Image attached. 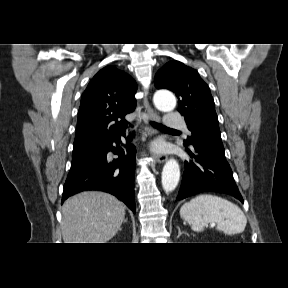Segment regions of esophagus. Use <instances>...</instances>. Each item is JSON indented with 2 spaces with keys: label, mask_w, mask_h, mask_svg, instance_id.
I'll return each instance as SVG.
<instances>
[{
  "label": "esophagus",
  "mask_w": 288,
  "mask_h": 288,
  "mask_svg": "<svg viewBox=\"0 0 288 288\" xmlns=\"http://www.w3.org/2000/svg\"><path fill=\"white\" fill-rule=\"evenodd\" d=\"M143 105L147 114V119L152 121H159V116L155 113L149 105L147 97L143 98ZM154 159L158 163H164L167 160V156L165 154H156L154 155Z\"/></svg>",
  "instance_id": "34e87169"
}]
</instances>
